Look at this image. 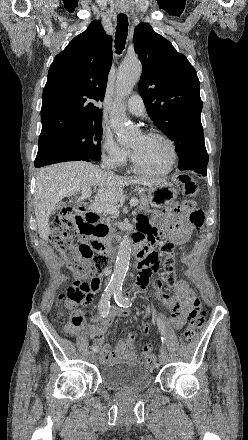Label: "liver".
I'll list each match as a JSON object with an SVG mask.
<instances>
[{
    "mask_svg": "<svg viewBox=\"0 0 248 440\" xmlns=\"http://www.w3.org/2000/svg\"><path fill=\"white\" fill-rule=\"evenodd\" d=\"M163 180L119 177L109 174L92 163L63 162L39 169L36 174L34 209L39 236L48 240L51 234L49 218L55 206L65 197H72L84 188H97L95 200L116 205L123 196L122 187L152 185Z\"/></svg>",
    "mask_w": 248,
    "mask_h": 440,
    "instance_id": "1",
    "label": "liver"
}]
</instances>
